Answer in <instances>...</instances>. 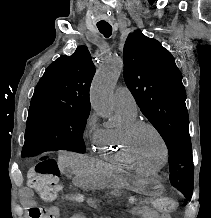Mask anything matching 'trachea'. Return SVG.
Returning a JSON list of instances; mask_svg holds the SVG:
<instances>
[{
	"instance_id": "1",
	"label": "trachea",
	"mask_w": 211,
	"mask_h": 218,
	"mask_svg": "<svg viewBox=\"0 0 211 218\" xmlns=\"http://www.w3.org/2000/svg\"><path fill=\"white\" fill-rule=\"evenodd\" d=\"M98 30L104 35V37H110L112 34L111 25H97Z\"/></svg>"
}]
</instances>
